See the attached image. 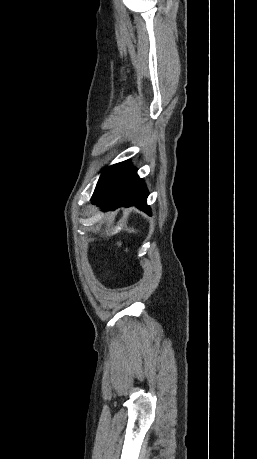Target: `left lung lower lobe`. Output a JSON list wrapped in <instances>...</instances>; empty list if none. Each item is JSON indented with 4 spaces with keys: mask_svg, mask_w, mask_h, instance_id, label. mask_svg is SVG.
Segmentation results:
<instances>
[{
    "mask_svg": "<svg viewBox=\"0 0 257 459\" xmlns=\"http://www.w3.org/2000/svg\"><path fill=\"white\" fill-rule=\"evenodd\" d=\"M147 188L128 161L108 167L101 175L94 194L93 204L105 209L136 206L150 214L146 204Z\"/></svg>",
    "mask_w": 257,
    "mask_h": 459,
    "instance_id": "1",
    "label": "left lung lower lobe"
}]
</instances>
